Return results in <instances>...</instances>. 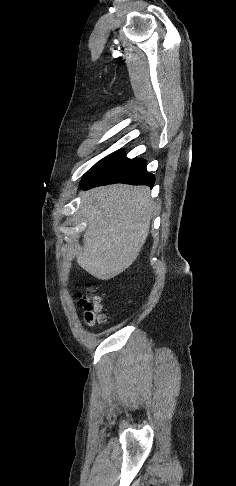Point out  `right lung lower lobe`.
Here are the masks:
<instances>
[{
	"label": "right lung lower lobe",
	"instance_id": "right-lung-lower-lobe-1",
	"mask_svg": "<svg viewBox=\"0 0 236 486\" xmlns=\"http://www.w3.org/2000/svg\"><path fill=\"white\" fill-rule=\"evenodd\" d=\"M155 178L146 170L143 159H128L121 152L112 155L95 169L80 185L87 190L113 183L153 186Z\"/></svg>",
	"mask_w": 236,
	"mask_h": 486
}]
</instances>
